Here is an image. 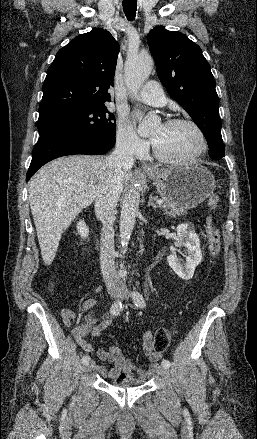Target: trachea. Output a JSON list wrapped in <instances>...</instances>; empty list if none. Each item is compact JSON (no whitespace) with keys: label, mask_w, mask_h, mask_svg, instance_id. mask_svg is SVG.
Masks as SVG:
<instances>
[{"label":"trachea","mask_w":257,"mask_h":439,"mask_svg":"<svg viewBox=\"0 0 257 439\" xmlns=\"http://www.w3.org/2000/svg\"><path fill=\"white\" fill-rule=\"evenodd\" d=\"M123 10L129 21L134 20L137 10V0H123Z\"/></svg>","instance_id":"trachea-1"}]
</instances>
